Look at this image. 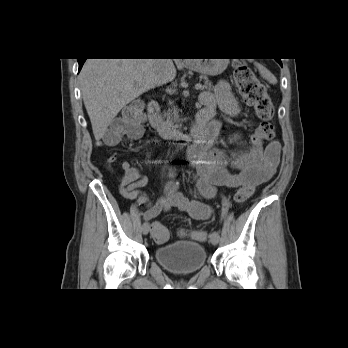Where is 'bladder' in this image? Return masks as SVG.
Wrapping results in <instances>:
<instances>
[{
  "mask_svg": "<svg viewBox=\"0 0 348 348\" xmlns=\"http://www.w3.org/2000/svg\"><path fill=\"white\" fill-rule=\"evenodd\" d=\"M160 265L173 274L186 275L198 271L207 259L205 248L194 241H178L155 249Z\"/></svg>",
  "mask_w": 348,
  "mask_h": 348,
  "instance_id": "bladder-1",
  "label": "bladder"
}]
</instances>
